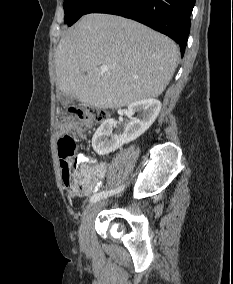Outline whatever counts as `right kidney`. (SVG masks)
<instances>
[{
  "label": "right kidney",
  "instance_id": "right-kidney-1",
  "mask_svg": "<svg viewBox=\"0 0 233 284\" xmlns=\"http://www.w3.org/2000/svg\"><path fill=\"white\" fill-rule=\"evenodd\" d=\"M160 110L161 102L157 99H143L131 103L127 112L130 121L126 124L122 135L112 134L116 123L114 119L104 121L92 138L94 151L98 155H106L137 139L154 123ZM135 113H139V118L132 117Z\"/></svg>",
  "mask_w": 233,
  "mask_h": 284
}]
</instances>
